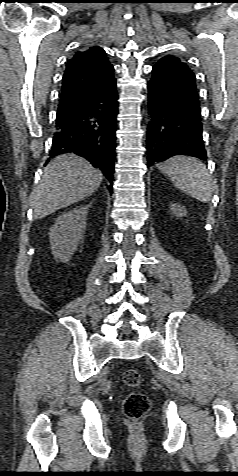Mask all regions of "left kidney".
Segmentation results:
<instances>
[{
	"label": "left kidney",
	"mask_w": 238,
	"mask_h": 476,
	"mask_svg": "<svg viewBox=\"0 0 238 476\" xmlns=\"http://www.w3.org/2000/svg\"><path fill=\"white\" fill-rule=\"evenodd\" d=\"M170 210L177 217H183L187 214L185 207L176 203L170 205Z\"/></svg>",
	"instance_id": "obj_1"
}]
</instances>
